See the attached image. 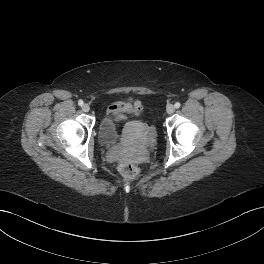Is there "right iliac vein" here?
I'll return each mask as SVG.
<instances>
[{
	"mask_svg": "<svg viewBox=\"0 0 264 264\" xmlns=\"http://www.w3.org/2000/svg\"><path fill=\"white\" fill-rule=\"evenodd\" d=\"M82 110H83L84 112H89V110H90V106H89L88 104H84V105L82 106Z\"/></svg>",
	"mask_w": 264,
	"mask_h": 264,
	"instance_id": "63e3f726",
	"label": "right iliac vein"
}]
</instances>
